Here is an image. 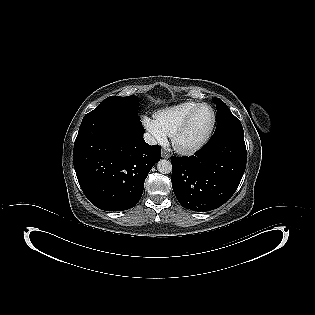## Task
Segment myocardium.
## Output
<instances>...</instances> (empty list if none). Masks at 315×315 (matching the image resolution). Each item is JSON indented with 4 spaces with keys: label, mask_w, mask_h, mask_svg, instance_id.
I'll use <instances>...</instances> for the list:
<instances>
[{
    "label": "myocardium",
    "mask_w": 315,
    "mask_h": 315,
    "mask_svg": "<svg viewBox=\"0 0 315 315\" xmlns=\"http://www.w3.org/2000/svg\"><path fill=\"white\" fill-rule=\"evenodd\" d=\"M202 107H208L211 109L212 111V123L211 126L208 130V132L206 133V135L195 145L189 146V147H183L179 144V139L180 137L183 135V133L187 130L190 122L192 121L194 115L197 113V111L202 108ZM216 122H217V115H216V111L214 109V107L208 103H200L198 104L193 110H191L189 112V114L184 118V120L181 122V124L176 128V130L174 131L173 135H172V145L174 147V149L179 152L180 154L183 155H191L194 154L196 152H198L199 150H201L210 140L215 126H216Z\"/></svg>",
    "instance_id": "obj_1"
}]
</instances>
